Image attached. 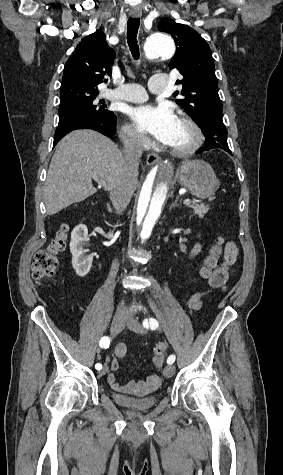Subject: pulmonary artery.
<instances>
[{"mask_svg":"<svg viewBox=\"0 0 283 475\" xmlns=\"http://www.w3.org/2000/svg\"><path fill=\"white\" fill-rule=\"evenodd\" d=\"M124 89H118L114 90L112 89L111 91L108 89L106 92L109 94L110 92L112 94L117 93L116 99L122 100V101H128V102H142L144 100H149L151 98V93L149 91H146L145 88H143L139 84L131 83V84H125ZM149 88L152 91V94L155 96H164L165 95V81L164 80H150L149 81Z\"/></svg>","mask_w":283,"mask_h":475,"instance_id":"pulmonary-artery-1","label":"pulmonary artery"}]
</instances>
